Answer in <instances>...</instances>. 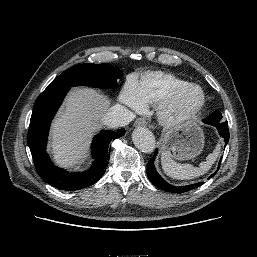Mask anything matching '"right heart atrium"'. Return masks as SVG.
<instances>
[{
	"instance_id": "right-heart-atrium-1",
	"label": "right heart atrium",
	"mask_w": 257,
	"mask_h": 257,
	"mask_svg": "<svg viewBox=\"0 0 257 257\" xmlns=\"http://www.w3.org/2000/svg\"><path fill=\"white\" fill-rule=\"evenodd\" d=\"M120 101L134 111L145 109V105L141 102L137 94L136 81L132 78L128 79L125 83L120 94Z\"/></svg>"
}]
</instances>
